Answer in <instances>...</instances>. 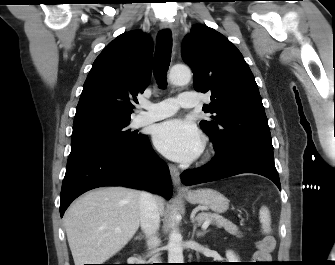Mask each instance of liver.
I'll use <instances>...</instances> for the list:
<instances>
[{"instance_id": "1", "label": "liver", "mask_w": 335, "mask_h": 265, "mask_svg": "<svg viewBox=\"0 0 335 265\" xmlns=\"http://www.w3.org/2000/svg\"><path fill=\"white\" fill-rule=\"evenodd\" d=\"M140 192L105 187L88 192L67 210L64 226L75 265L103 264L134 236L140 224ZM159 213L162 198H155Z\"/></svg>"}]
</instances>
